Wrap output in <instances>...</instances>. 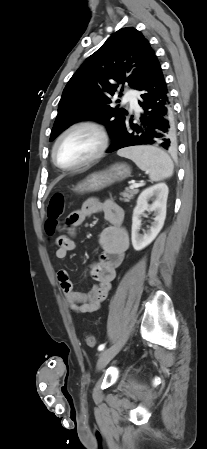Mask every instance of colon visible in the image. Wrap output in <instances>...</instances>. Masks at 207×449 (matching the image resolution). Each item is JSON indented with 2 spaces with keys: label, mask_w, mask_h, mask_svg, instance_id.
<instances>
[{
  "label": "colon",
  "mask_w": 207,
  "mask_h": 449,
  "mask_svg": "<svg viewBox=\"0 0 207 449\" xmlns=\"http://www.w3.org/2000/svg\"><path fill=\"white\" fill-rule=\"evenodd\" d=\"M64 211V197L61 193H55L49 200L47 206V222L45 225L46 232L50 235L54 234L58 228L59 220ZM88 347L96 345V339L92 334H86L84 337Z\"/></svg>",
  "instance_id": "colon-1"
}]
</instances>
